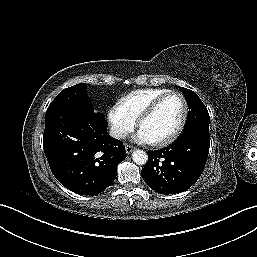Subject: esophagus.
Listing matches in <instances>:
<instances>
[{
    "mask_svg": "<svg viewBox=\"0 0 257 257\" xmlns=\"http://www.w3.org/2000/svg\"><path fill=\"white\" fill-rule=\"evenodd\" d=\"M125 149H126V153L127 154H130V153H132V151L135 149L133 146H131V145H125Z\"/></svg>",
    "mask_w": 257,
    "mask_h": 257,
    "instance_id": "obj_1",
    "label": "esophagus"
}]
</instances>
